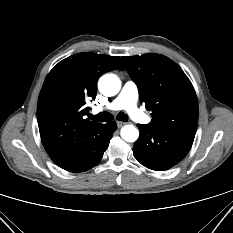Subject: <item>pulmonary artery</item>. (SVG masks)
I'll return each instance as SVG.
<instances>
[{
	"label": "pulmonary artery",
	"instance_id": "pulmonary-artery-1",
	"mask_svg": "<svg viewBox=\"0 0 233 233\" xmlns=\"http://www.w3.org/2000/svg\"><path fill=\"white\" fill-rule=\"evenodd\" d=\"M138 87L135 82L128 80L123 85L119 95L104 107L106 110H126L131 119L142 124H149L151 118L144 114L137 107ZM102 107L96 108V111L102 110Z\"/></svg>",
	"mask_w": 233,
	"mask_h": 233
}]
</instances>
